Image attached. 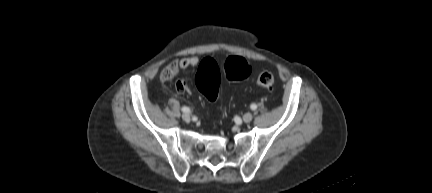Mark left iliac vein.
<instances>
[{"label": "left iliac vein", "mask_w": 432, "mask_h": 193, "mask_svg": "<svg viewBox=\"0 0 432 193\" xmlns=\"http://www.w3.org/2000/svg\"><path fill=\"white\" fill-rule=\"evenodd\" d=\"M252 119H253V115H252V113H250V112H247V113H245V114L243 115V121H244L245 123H249V122H251Z\"/></svg>", "instance_id": "4c4485c4"}]
</instances>
